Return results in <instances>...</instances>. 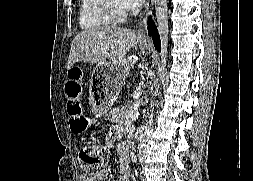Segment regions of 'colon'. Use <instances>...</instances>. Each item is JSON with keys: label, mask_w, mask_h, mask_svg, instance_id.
Returning a JSON list of instances; mask_svg holds the SVG:
<instances>
[{"label": "colon", "mask_w": 253, "mask_h": 181, "mask_svg": "<svg viewBox=\"0 0 253 181\" xmlns=\"http://www.w3.org/2000/svg\"><path fill=\"white\" fill-rule=\"evenodd\" d=\"M82 72L78 67H71L65 82L67 110L70 115V128L76 134H83L92 124V120L83 115L84 89L81 82ZM82 167L90 174L98 173L106 164L107 154L97 144H87L80 150Z\"/></svg>", "instance_id": "obj_1"}]
</instances>
